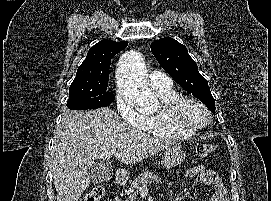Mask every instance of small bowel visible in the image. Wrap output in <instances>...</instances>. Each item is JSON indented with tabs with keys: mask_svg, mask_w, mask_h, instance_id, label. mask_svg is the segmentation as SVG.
I'll list each match as a JSON object with an SVG mask.
<instances>
[{
	"mask_svg": "<svg viewBox=\"0 0 271 201\" xmlns=\"http://www.w3.org/2000/svg\"><path fill=\"white\" fill-rule=\"evenodd\" d=\"M186 178H199L205 185L210 186L213 189V195L208 201H228L227 190L216 171L199 165L190 168L186 172Z\"/></svg>",
	"mask_w": 271,
	"mask_h": 201,
	"instance_id": "c3829d8e",
	"label": "small bowel"
}]
</instances>
